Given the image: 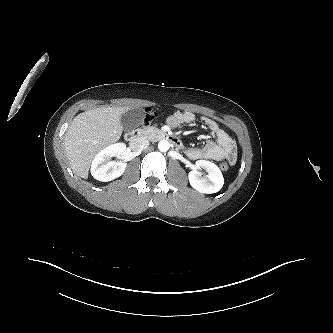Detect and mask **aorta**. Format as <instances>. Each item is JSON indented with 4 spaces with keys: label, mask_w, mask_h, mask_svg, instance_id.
I'll list each match as a JSON object with an SVG mask.
<instances>
[{
    "label": "aorta",
    "mask_w": 333,
    "mask_h": 333,
    "mask_svg": "<svg viewBox=\"0 0 333 333\" xmlns=\"http://www.w3.org/2000/svg\"><path fill=\"white\" fill-rule=\"evenodd\" d=\"M170 148V144L167 140H161L159 143H158V149L161 151V152H166L168 151Z\"/></svg>",
    "instance_id": "762f6f07"
}]
</instances>
